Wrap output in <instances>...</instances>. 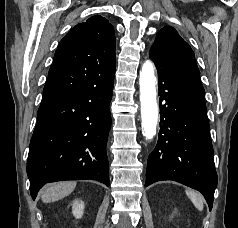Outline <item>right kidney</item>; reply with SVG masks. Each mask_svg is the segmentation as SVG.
Listing matches in <instances>:
<instances>
[{"instance_id":"ca27d5eb","label":"right kidney","mask_w":238,"mask_h":228,"mask_svg":"<svg viewBox=\"0 0 238 228\" xmlns=\"http://www.w3.org/2000/svg\"><path fill=\"white\" fill-rule=\"evenodd\" d=\"M84 202L82 200L76 199L72 203V213L76 219H80L84 213Z\"/></svg>"}]
</instances>
